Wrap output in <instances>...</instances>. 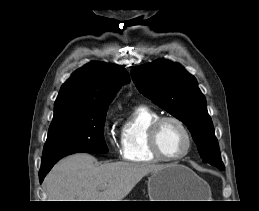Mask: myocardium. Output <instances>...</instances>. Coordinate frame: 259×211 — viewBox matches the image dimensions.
I'll use <instances>...</instances> for the list:
<instances>
[{"mask_svg":"<svg viewBox=\"0 0 259 211\" xmlns=\"http://www.w3.org/2000/svg\"><path fill=\"white\" fill-rule=\"evenodd\" d=\"M168 121H172V122H175L176 124H178L180 126V128L183 130V132L186 136V139H187V145H186V148L184 149V151L182 153H180L179 155L173 156V157L165 155L163 153V151L160 147V143H159L160 129H161L162 125ZM148 142H149V147H150L151 152L158 159L163 160V161L173 162V161H179L189 154V152L191 151L192 146H193V137H192V134H191L189 128L187 127V125L180 118H178L176 116L168 115V116L159 117L150 126L149 132H148Z\"/></svg>","mask_w":259,"mask_h":211,"instance_id":"myocardium-1","label":"myocardium"}]
</instances>
